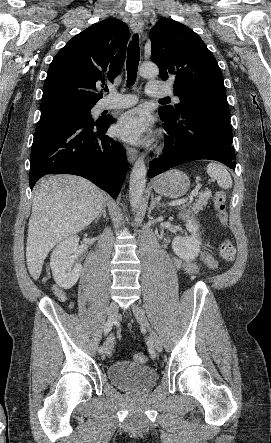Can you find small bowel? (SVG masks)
<instances>
[{
  "label": "small bowel",
  "instance_id": "small-bowel-1",
  "mask_svg": "<svg viewBox=\"0 0 271 443\" xmlns=\"http://www.w3.org/2000/svg\"><path fill=\"white\" fill-rule=\"evenodd\" d=\"M202 259L208 266L215 267L216 262L209 254H203ZM174 262L178 268L184 269L187 272H194L196 270V266L194 264L185 263L178 258H175ZM53 291L59 300L65 301V295L59 287H54Z\"/></svg>",
  "mask_w": 271,
  "mask_h": 443
}]
</instances>
